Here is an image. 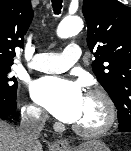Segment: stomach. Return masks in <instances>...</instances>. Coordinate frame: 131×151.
<instances>
[{
	"mask_svg": "<svg viewBox=\"0 0 131 151\" xmlns=\"http://www.w3.org/2000/svg\"><path fill=\"white\" fill-rule=\"evenodd\" d=\"M63 151H110V149L101 140L91 139L82 143L77 148H66Z\"/></svg>",
	"mask_w": 131,
	"mask_h": 151,
	"instance_id": "1",
	"label": "stomach"
}]
</instances>
